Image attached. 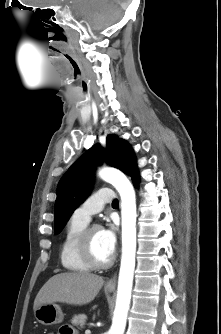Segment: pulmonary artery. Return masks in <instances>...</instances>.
<instances>
[{
  "mask_svg": "<svg viewBox=\"0 0 221 334\" xmlns=\"http://www.w3.org/2000/svg\"><path fill=\"white\" fill-rule=\"evenodd\" d=\"M115 194L109 188H101L89 196L73 213V216L84 222H89L91 217L100 212L104 205L114 200Z\"/></svg>",
  "mask_w": 221,
  "mask_h": 334,
  "instance_id": "pulmonary-artery-1",
  "label": "pulmonary artery"
}]
</instances>
